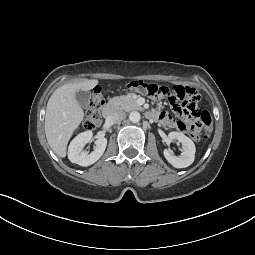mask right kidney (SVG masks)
Segmentation results:
<instances>
[{
  "instance_id": "right-kidney-1",
  "label": "right kidney",
  "mask_w": 255,
  "mask_h": 255,
  "mask_svg": "<svg viewBox=\"0 0 255 255\" xmlns=\"http://www.w3.org/2000/svg\"><path fill=\"white\" fill-rule=\"evenodd\" d=\"M92 135L91 131H85L78 134L71 141L68 148V158L72 163L87 167L94 164L101 158L107 146V139L104 137L95 141L94 151L90 154L82 151L84 145L89 143L92 139Z\"/></svg>"
}]
</instances>
